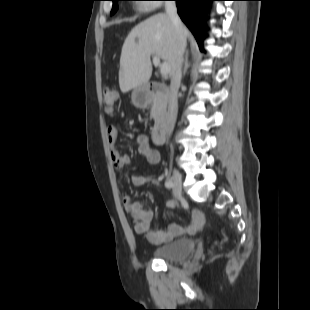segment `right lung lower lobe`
Segmentation results:
<instances>
[{
    "mask_svg": "<svg viewBox=\"0 0 310 310\" xmlns=\"http://www.w3.org/2000/svg\"><path fill=\"white\" fill-rule=\"evenodd\" d=\"M177 10L182 21L195 36L199 46L203 49L202 42L206 33V16L211 1L214 0H175Z\"/></svg>",
    "mask_w": 310,
    "mask_h": 310,
    "instance_id": "98d812e1",
    "label": "right lung lower lobe"
}]
</instances>
